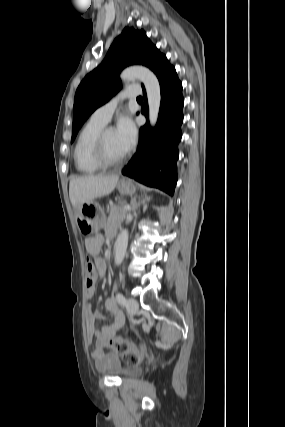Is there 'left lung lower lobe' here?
<instances>
[{"label": "left lung lower lobe", "mask_w": 285, "mask_h": 427, "mask_svg": "<svg viewBox=\"0 0 285 427\" xmlns=\"http://www.w3.org/2000/svg\"><path fill=\"white\" fill-rule=\"evenodd\" d=\"M153 72L159 79L161 89L158 122L153 129L148 121L140 128L138 152L122 170V174L173 195L177 182L178 143L182 137V84L175 68L165 56ZM144 97L141 113L148 118L145 91Z\"/></svg>", "instance_id": "1"}]
</instances>
